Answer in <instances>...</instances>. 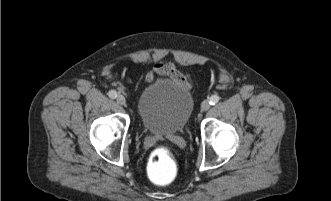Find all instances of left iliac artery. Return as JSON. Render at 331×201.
<instances>
[{
	"mask_svg": "<svg viewBox=\"0 0 331 201\" xmlns=\"http://www.w3.org/2000/svg\"><path fill=\"white\" fill-rule=\"evenodd\" d=\"M219 99H220L219 96L213 95V96H211V98L209 100V103L211 105H215L216 103H218Z\"/></svg>",
	"mask_w": 331,
	"mask_h": 201,
	"instance_id": "obj_1",
	"label": "left iliac artery"
}]
</instances>
